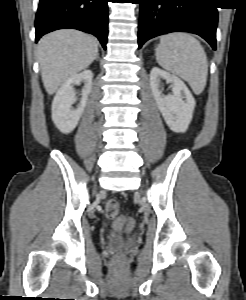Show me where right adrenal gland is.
<instances>
[{
    "mask_svg": "<svg viewBox=\"0 0 246 300\" xmlns=\"http://www.w3.org/2000/svg\"><path fill=\"white\" fill-rule=\"evenodd\" d=\"M98 58H99V55L97 54L96 59H98Z\"/></svg>",
    "mask_w": 246,
    "mask_h": 300,
    "instance_id": "2a0ac1e0",
    "label": "right adrenal gland"
}]
</instances>
